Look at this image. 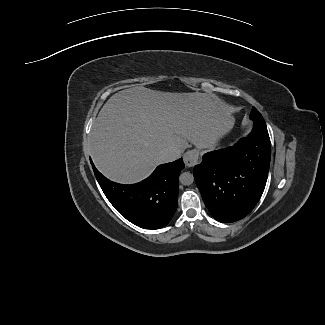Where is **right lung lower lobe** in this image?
Listing matches in <instances>:
<instances>
[{"mask_svg": "<svg viewBox=\"0 0 325 325\" xmlns=\"http://www.w3.org/2000/svg\"><path fill=\"white\" fill-rule=\"evenodd\" d=\"M91 164L107 199L127 220L147 229H159L170 222L178 205L182 158L158 166L147 179L132 185L108 180Z\"/></svg>", "mask_w": 325, "mask_h": 325, "instance_id": "1", "label": "right lung lower lobe"}]
</instances>
